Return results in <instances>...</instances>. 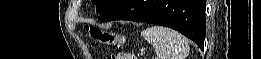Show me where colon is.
Segmentation results:
<instances>
[{
  "instance_id": "5ec220e1",
  "label": "colon",
  "mask_w": 261,
  "mask_h": 59,
  "mask_svg": "<svg viewBox=\"0 0 261 59\" xmlns=\"http://www.w3.org/2000/svg\"><path fill=\"white\" fill-rule=\"evenodd\" d=\"M89 32L91 37L96 40L97 42L106 44V45H117L120 46L123 43V38L115 33L108 32L101 30L96 27L89 28ZM112 59H117V58H123L122 56L116 57L112 56L110 57ZM129 58V57H126Z\"/></svg>"
}]
</instances>
